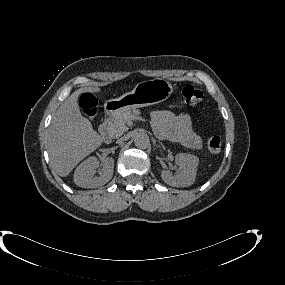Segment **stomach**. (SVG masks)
I'll return each instance as SVG.
<instances>
[{
    "mask_svg": "<svg viewBox=\"0 0 285 285\" xmlns=\"http://www.w3.org/2000/svg\"><path fill=\"white\" fill-rule=\"evenodd\" d=\"M173 92L171 83L155 78L138 83L135 88L119 98L107 100L104 104L108 115H118L125 111L155 105L167 100Z\"/></svg>",
    "mask_w": 285,
    "mask_h": 285,
    "instance_id": "obj_1",
    "label": "stomach"
}]
</instances>
